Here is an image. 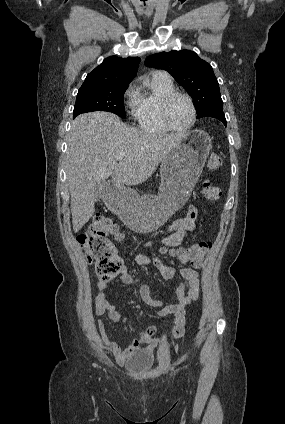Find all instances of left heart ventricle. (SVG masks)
<instances>
[{
  "instance_id": "left-heart-ventricle-1",
  "label": "left heart ventricle",
  "mask_w": 285,
  "mask_h": 424,
  "mask_svg": "<svg viewBox=\"0 0 285 424\" xmlns=\"http://www.w3.org/2000/svg\"><path fill=\"white\" fill-rule=\"evenodd\" d=\"M191 116V108L183 97L174 98L168 107V119L175 127H184Z\"/></svg>"
}]
</instances>
